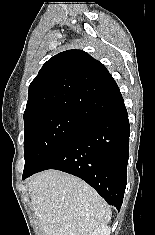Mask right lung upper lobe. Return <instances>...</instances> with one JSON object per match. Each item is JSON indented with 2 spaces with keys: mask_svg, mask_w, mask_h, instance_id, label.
<instances>
[{
  "mask_svg": "<svg viewBox=\"0 0 155 235\" xmlns=\"http://www.w3.org/2000/svg\"><path fill=\"white\" fill-rule=\"evenodd\" d=\"M114 80L105 66L82 50H67L50 58L29 86L25 113L43 108H61L91 121L85 91Z\"/></svg>",
  "mask_w": 155,
  "mask_h": 235,
  "instance_id": "obj_1",
  "label": "right lung upper lobe"
}]
</instances>
